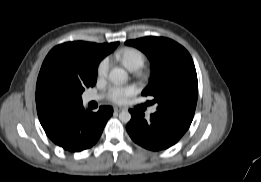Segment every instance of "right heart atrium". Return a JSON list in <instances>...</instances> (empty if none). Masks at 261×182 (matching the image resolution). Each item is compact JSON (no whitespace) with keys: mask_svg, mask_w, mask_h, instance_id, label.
Here are the masks:
<instances>
[{"mask_svg":"<svg viewBox=\"0 0 261 182\" xmlns=\"http://www.w3.org/2000/svg\"><path fill=\"white\" fill-rule=\"evenodd\" d=\"M110 69V62L107 58L103 59L97 67V79L102 80L107 77Z\"/></svg>","mask_w":261,"mask_h":182,"instance_id":"d8ad5b80","label":"right heart atrium"}]
</instances>
